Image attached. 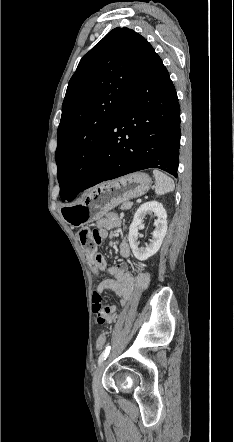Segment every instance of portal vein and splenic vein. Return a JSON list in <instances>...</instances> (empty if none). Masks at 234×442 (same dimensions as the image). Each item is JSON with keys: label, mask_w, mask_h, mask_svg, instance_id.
Wrapping results in <instances>:
<instances>
[{"label": "portal vein and splenic vein", "mask_w": 234, "mask_h": 442, "mask_svg": "<svg viewBox=\"0 0 234 442\" xmlns=\"http://www.w3.org/2000/svg\"><path fill=\"white\" fill-rule=\"evenodd\" d=\"M137 202H141V199H138Z\"/></svg>", "instance_id": "obj_1"}]
</instances>
